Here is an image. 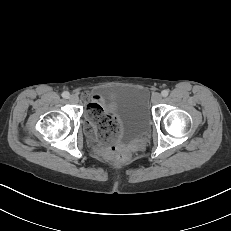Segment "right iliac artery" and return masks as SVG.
Masks as SVG:
<instances>
[{
	"label": "right iliac artery",
	"instance_id": "82829eb1",
	"mask_svg": "<svg viewBox=\"0 0 231 231\" xmlns=\"http://www.w3.org/2000/svg\"><path fill=\"white\" fill-rule=\"evenodd\" d=\"M69 96H70V94H69V92H67V91H64V92L62 93V97L65 98V99H68Z\"/></svg>",
	"mask_w": 231,
	"mask_h": 231
}]
</instances>
